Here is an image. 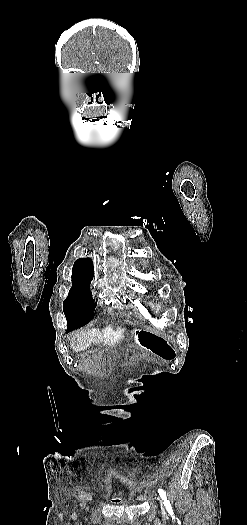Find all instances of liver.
Masks as SVG:
<instances>
[{
  "label": "liver",
  "mask_w": 247,
  "mask_h": 525,
  "mask_svg": "<svg viewBox=\"0 0 247 525\" xmlns=\"http://www.w3.org/2000/svg\"><path fill=\"white\" fill-rule=\"evenodd\" d=\"M108 331V329H106ZM103 335H106V333H103ZM101 333L99 329H91V331H80V333H76L74 335L73 339H71L70 347L75 351V353H79V351H85V349H88L90 347L91 343H101Z\"/></svg>",
  "instance_id": "liver-1"
}]
</instances>
